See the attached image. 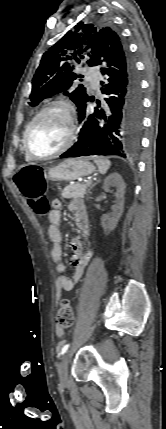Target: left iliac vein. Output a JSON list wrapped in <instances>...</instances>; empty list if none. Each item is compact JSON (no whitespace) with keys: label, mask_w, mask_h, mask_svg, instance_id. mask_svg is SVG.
<instances>
[{"label":"left iliac vein","mask_w":166,"mask_h":429,"mask_svg":"<svg viewBox=\"0 0 166 429\" xmlns=\"http://www.w3.org/2000/svg\"><path fill=\"white\" fill-rule=\"evenodd\" d=\"M68 361H69V352H67L63 356L58 369L59 379L62 385H66L68 383V377H67Z\"/></svg>","instance_id":"obj_1"}]
</instances>
